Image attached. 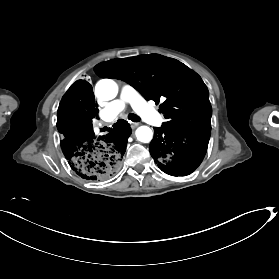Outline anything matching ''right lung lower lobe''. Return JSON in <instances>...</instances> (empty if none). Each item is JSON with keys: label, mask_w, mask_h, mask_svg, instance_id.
Masks as SVG:
<instances>
[{"label": "right lung lower lobe", "mask_w": 279, "mask_h": 279, "mask_svg": "<svg viewBox=\"0 0 279 279\" xmlns=\"http://www.w3.org/2000/svg\"><path fill=\"white\" fill-rule=\"evenodd\" d=\"M97 104L91 85L76 81L64 94L57 112V128L63 140L61 148L72 170L83 179L104 181L121 166L130 134L129 124L118 120L109 133L96 137L92 118Z\"/></svg>", "instance_id": "98d812e1"}]
</instances>
